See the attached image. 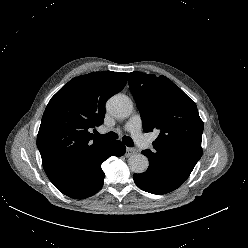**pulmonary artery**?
<instances>
[{"label":"pulmonary artery","mask_w":248,"mask_h":248,"mask_svg":"<svg viewBox=\"0 0 248 248\" xmlns=\"http://www.w3.org/2000/svg\"><path fill=\"white\" fill-rule=\"evenodd\" d=\"M141 128L142 120L141 117L137 114L133 115L125 124V130L132 134L136 143L142 147H146L148 146L149 142L142 134ZM101 131H104V129Z\"/></svg>","instance_id":"1"}]
</instances>
